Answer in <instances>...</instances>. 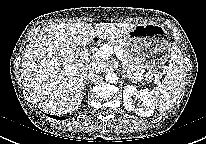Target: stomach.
Instances as JSON below:
<instances>
[{
  "label": "stomach",
  "mask_w": 206,
  "mask_h": 144,
  "mask_svg": "<svg viewBox=\"0 0 206 144\" xmlns=\"http://www.w3.org/2000/svg\"><path fill=\"white\" fill-rule=\"evenodd\" d=\"M122 40L132 57L147 72L146 75L161 74L166 70L165 64L173 46L170 34L163 25L138 24Z\"/></svg>",
  "instance_id": "obj_1"
}]
</instances>
